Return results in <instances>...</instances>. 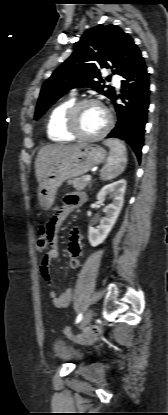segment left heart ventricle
Segmentation results:
<instances>
[{
  "mask_svg": "<svg viewBox=\"0 0 168 415\" xmlns=\"http://www.w3.org/2000/svg\"><path fill=\"white\" fill-rule=\"evenodd\" d=\"M107 121L105 110L98 104L84 106L78 117V126L82 133L92 135L100 132Z\"/></svg>",
  "mask_w": 168,
  "mask_h": 415,
  "instance_id": "1",
  "label": "left heart ventricle"
}]
</instances>
